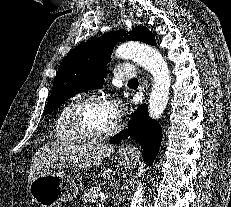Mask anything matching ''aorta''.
<instances>
[{"mask_svg": "<svg viewBox=\"0 0 231 207\" xmlns=\"http://www.w3.org/2000/svg\"><path fill=\"white\" fill-rule=\"evenodd\" d=\"M115 55L123 59H133L153 76V89L149 97L148 113L152 119H158L164 112L170 94L171 77L166 61L154 48L137 42H126L115 50ZM144 184H137L130 207H142Z\"/></svg>", "mask_w": 231, "mask_h": 207, "instance_id": "obj_1", "label": "aorta"}]
</instances>
